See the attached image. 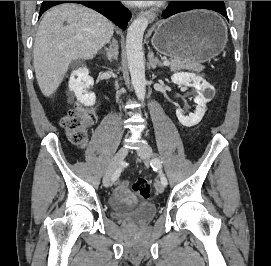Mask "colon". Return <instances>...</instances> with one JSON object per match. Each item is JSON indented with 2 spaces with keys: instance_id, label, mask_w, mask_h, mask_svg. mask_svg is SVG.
Here are the masks:
<instances>
[{
  "instance_id": "5ec220e1",
  "label": "colon",
  "mask_w": 271,
  "mask_h": 266,
  "mask_svg": "<svg viewBox=\"0 0 271 266\" xmlns=\"http://www.w3.org/2000/svg\"><path fill=\"white\" fill-rule=\"evenodd\" d=\"M96 119L93 108L83 107L76 104L66 116L62 118L61 124L69 141L76 146H83L87 141V129ZM133 191L143 198H148L151 193L150 183L139 178L132 185Z\"/></svg>"
}]
</instances>
